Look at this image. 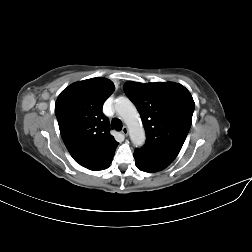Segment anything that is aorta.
I'll list each match as a JSON object with an SVG mask.
<instances>
[{
	"label": "aorta",
	"instance_id": "obj_1",
	"mask_svg": "<svg viewBox=\"0 0 252 252\" xmlns=\"http://www.w3.org/2000/svg\"><path fill=\"white\" fill-rule=\"evenodd\" d=\"M115 109L127 124L132 143L136 147L143 145L145 132L133 103L126 97H119L115 103Z\"/></svg>",
	"mask_w": 252,
	"mask_h": 252
}]
</instances>
